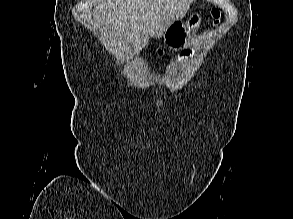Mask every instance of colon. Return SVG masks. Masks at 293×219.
I'll list each match as a JSON object with an SVG mask.
<instances>
[{"instance_id":"colon-1","label":"colon","mask_w":293,"mask_h":219,"mask_svg":"<svg viewBox=\"0 0 293 219\" xmlns=\"http://www.w3.org/2000/svg\"><path fill=\"white\" fill-rule=\"evenodd\" d=\"M212 16L215 18V19H218V17H219V12H218V10H216V9H214V10H212ZM188 52H184L183 53V56H188Z\"/></svg>"}]
</instances>
